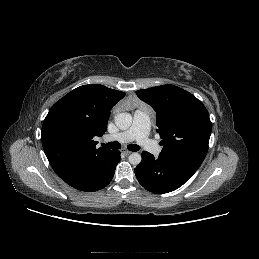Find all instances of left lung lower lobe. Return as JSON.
I'll list each match as a JSON object with an SVG mask.
<instances>
[{"label":"left lung lower lobe","instance_id":"left-lung-lower-lobe-1","mask_svg":"<svg viewBox=\"0 0 259 259\" xmlns=\"http://www.w3.org/2000/svg\"><path fill=\"white\" fill-rule=\"evenodd\" d=\"M199 164L159 154L158 158L144 151L142 161L135 168L139 183L148 191L163 194L176 190L187 182Z\"/></svg>","mask_w":259,"mask_h":259}]
</instances>
